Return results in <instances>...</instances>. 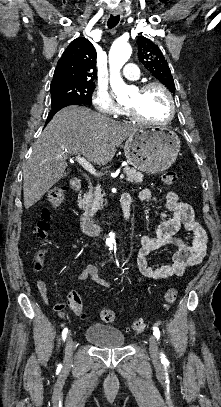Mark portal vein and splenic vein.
<instances>
[{"label": "portal vein and splenic vein", "instance_id": "1", "mask_svg": "<svg viewBox=\"0 0 221 407\" xmlns=\"http://www.w3.org/2000/svg\"><path fill=\"white\" fill-rule=\"evenodd\" d=\"M75 160L86 170L88 171L91 175L97 177L98 173L96 171V169L92 166L91 163H89V161H87L84 157L82 156H76ZM125 176L124 174L120 175V179H123Z\"/></svg>", "mask_w": 221, "mask_h": 407}]
</instances>
